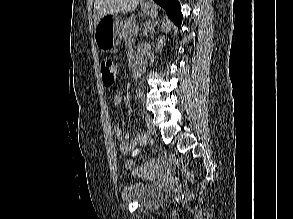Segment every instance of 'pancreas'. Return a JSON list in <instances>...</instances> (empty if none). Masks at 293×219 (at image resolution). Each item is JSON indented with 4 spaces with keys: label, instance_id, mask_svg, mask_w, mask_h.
<instances>
[{
    "label": "pancreas",
    "instance_id": "obj_1",
    "mask_svg": "<svg viewBox=\"0 0 293 219\" xmlns=\"http://www.w3.org/2000/svg\"><path fill=\"white\" fill-rule=\"evenodd\" d=\"M137 31L135 16H131L124 21L122 25V35L124 37H131Z\"/></svg>",
    "mask_w": 293,
    "mask_h": 219
}]
</instances>
